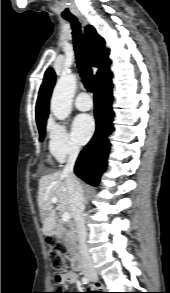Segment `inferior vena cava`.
<instances>
[{
    "instance_id": "obj_1",
    "label": "inferior vena cava",
    "mask_w": 170,
    "mask_h": 293,
    "mask_svg": "<svg viewBox=\"0 0 170 293\" xmlns=\"http://www.w3.org/2000/svg\"><path fill=\"white\" fill-rule=\"evenodd\" d=\"M79 147L72 145L69 150L67 163L63 169V175L66 178L67 188L71 197L72 213L75 220L76 232L81 255L82 266L85 271L93 270L94 264L86 244L87 230L84 220V193L80 182L74 174V165L79 154Z\"/></svg>"
}]
</instances>
